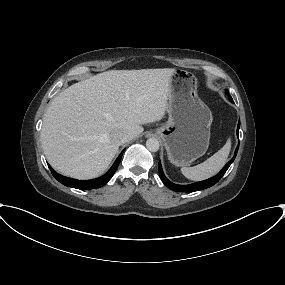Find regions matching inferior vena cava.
<instances>
[{
    "label": "inferior vena cava",
    "mask_w": 285,
    "mask_h": 285,
    "mask_svg": "<svg viewBox=\"0 0 285 285\" xmlns=\"http://www.w3.org/2000/svg\"><path fill=\"white\" fill-rule=\"evenodd\" d=\"M128 137H129L128 134H126V133L123 132V131H117V132H114V133L112 134L113 140H114L117 144H119V145L124 144L125 142H127Z\"/></svg>",
    "instance_id": "inferior-vena-cava-1"
}]
</instances>
